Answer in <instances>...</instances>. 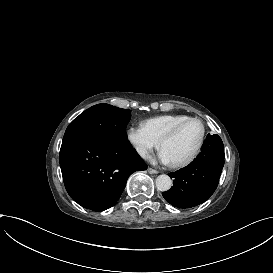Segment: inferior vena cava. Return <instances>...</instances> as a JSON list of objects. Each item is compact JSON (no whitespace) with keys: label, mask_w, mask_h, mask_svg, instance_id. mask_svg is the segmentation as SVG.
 Masks as SVG:
<instances>
[{"label":"inferior vena cava","mask_w":273,"mask_h":273,"mask_svg":"<svg viewBox=\"0 0 273 273\" xmlns=\"http://www.w3.org/2000/svg\"><path fill=\"white\" fill-rule=\"evenodd\" d=\"M139 153L143 158L147 157V150L146 149H141Z\"/></svg>","instance_id":"602c4592"}]
</instances>
